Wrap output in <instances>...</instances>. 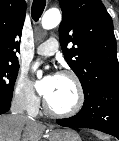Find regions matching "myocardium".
Listing matches in <instances>:
<instances>
[{"mask_svg": "<svg viewBox=\"0 0 119 141\" xmlns=\"http://www.w3.org/2000/svg\"><path fill=\"white\" fill-rule=\"evenodd\" d=\"M60 76L66 77L68 79H70L76 89V93H77V98H76V102L74 104V106L68 110H64V111H58L53 109L52 107H50V105L48 104L46 98L43 101V107L46 113H48L51 116L54 117H72L75 116L76 114H78L81 109L84 106L85 103V92H84V88L83 85L79 79V77L73 73L72 71H68V70H64L61 71L59 73Z\"/></svg>", "mask_w": 119, "mask_h": 141, "instance_id": "1", "label": "myocardium"}]
</instances>
